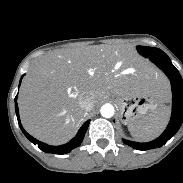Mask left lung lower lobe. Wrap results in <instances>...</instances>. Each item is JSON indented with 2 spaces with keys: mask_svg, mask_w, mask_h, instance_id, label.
<instances>
[{
  "mask_svg": "<svg viewBox=\"0 0 183 183\" xmlns=\"http://www.w3.org/2000/svg\"><path fill=\"white\" fill-rule=\"evenodd\" d=\"M169 78L173 93L172 115L166 130L157 139L148 143H138L129 140L123 142L137 150H149L163 146L179 130L183 123V80L178 70L166 54L149 58Z\"/></svg>",
  "mask_w": 183,
  "mask_h": 183,
  "instance_id": "0a47b994",
  "label": "left lung lower lobe"
}]
</instances>
